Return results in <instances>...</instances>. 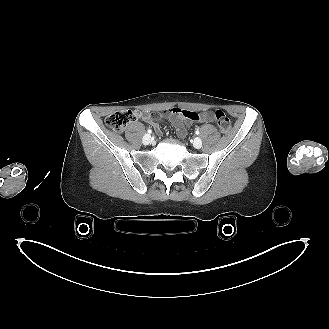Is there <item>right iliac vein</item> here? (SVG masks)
Here are the masks:
<instances>
[{
    "instance_id": "1",
    "label": "right iliac vein",
    "mask_w": 329,
    "mask_h": 329,
    "mask_svg": "<svg viewBox=\"0 0 329 329\" xmlns=\"http://www.w3.org/2000/svg\"><path fill=\"white\" fill-rule=\"evenodd\" d=\"M151 142V136L149 134H145L142 138V143L144 145H148Z\"/></svg>"
}]
</instances>
